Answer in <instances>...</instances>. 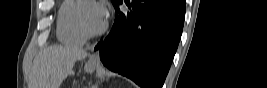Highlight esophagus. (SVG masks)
I'll return each instance as SVG.
<instances>
[{
    "label": "esophagus",
    "mask_w": 267,
    "mask_h": 88,
    "mask_svg": "<svg viewBox=\"0 0 267 88\" xmlns=\"http://www.w3.org/2000/svg\"><path fill=\"white\" fill-rule=\"evenodd\" d=\"M90 62H97L98 61V55L97 53L93 54L90 59H89Z\"/></svg>",
    "instance_id": "34e87169"
}]
</instances>
